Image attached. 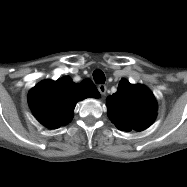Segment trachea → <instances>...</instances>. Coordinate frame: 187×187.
Returning a JSON list of instances; mask_svg holds the SVG:
<instances>
[{
	"label": "trachea",
	"mask_w": 187,
	"mask_h": 187,
	"mask_svg": "<svg viewBox=\"0 0 187 187\" xmlns=\"http://www.w3.org/2000/svg\"><path fill=\"white\" fill-rule=\"evenodd\" d=\"M93 79H94L95 83H102V84L105 83V75L99 69H97L93 72Z\"/></svg>",
	"instance_id": "1"
}]
</instances>
